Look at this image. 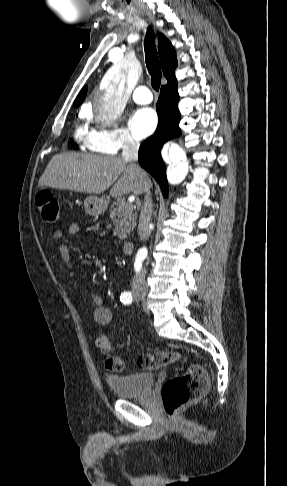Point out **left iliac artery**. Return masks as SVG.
<instances>
[{
	"mask_svg": "<svg viewBox=\"0 0 287 486\" xmlns=\"http://www.w3.org/2000/svg\"><path fill=\"white\" fill-rule=\"evenodd\" d=\"M121 302H123L124 304H130L132 302V300H121Z\"/></svg>",
	"mask_w": 287,
	"mask_h": 486,
	"instance_id": "obj_1",
	"label": "left iliac artery"
}]
</instances>
